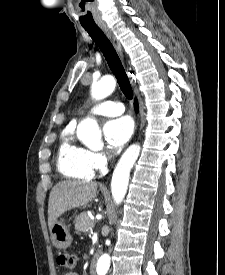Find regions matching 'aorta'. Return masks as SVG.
Segmentation results:
<instances>
[{"label": "aorta", "instance_id": "aorta-1", "mask_svg": "<svg viewBox=\"0 0 225 275\" xmlns=\"http://www.w3.org/2000/svg\"><path fill=\"white\" fill-rule=\"evenodd\" d=\"M116 87V80L111 75L102 77L99 81L93 82L91 96L95 100H102L109 96ZM78 139L87 147L93 150L102 147L101 131L98 123L92 118L82 120L76 131ZM140 154V145H131L121 156L113 172L111 181V192L116 204H120L127 192L130 171ZM110 267V256L103 254L96 267L97 275H106Z\"/></svg>", "mask_w": 225, "mask_h": 275}]
</instances>
